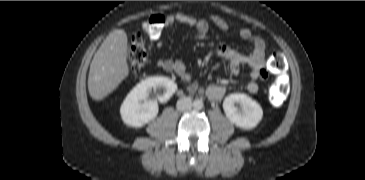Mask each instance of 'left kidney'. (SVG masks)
<instances>
[{
	"instance_id": "1",
	"label": "left kidney",
	"mask_w": 365,
	"mask_h": 180,
	"mask_svg": "<svg viewBox=\"0 0 365 180\" xmlns=\"http://www.w3.org/2000/svg\"><path fill=\"white\" fill-rule=\"evenodd\" d=\"M240 105V109L235 106ZM226 117L236 126L243 129H253L262 120L261 106L246 94H230L223 102Z\"/></svg>"
}]
</instances>
